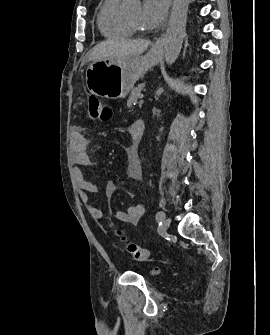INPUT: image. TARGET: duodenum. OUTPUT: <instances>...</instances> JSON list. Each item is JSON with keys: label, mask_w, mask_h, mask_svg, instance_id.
<instances>
[{"label": "duodenum", "mask_w": 270, "mask_h": 335, "mask_svg": "<svg viewBox=\"0 0 270 335\" xmlns=\"http://www.w3.org/2000/svg\"><path fill=\"white\" fill-rule=\"evenodd\" d=\"M144 130H145L144 122L141 120L137 121L134 126V135L136 139L140 140L143 137Z\"/></svg>", "instance_id": "obj_1"}]
</instances>
